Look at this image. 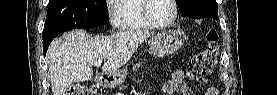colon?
<instances>
[{
    "instance_id": "colon-1",
    "label": "colon",
    "mask_w": 277,
    "mask_h": 95,
    "mask_svg": "<svg viewBox=\"0 0 277 95\" xmlns=\"http://www.w3.org/2000/svg\"><path fill=\"white\" fill-rule=\"evenodd\" d=\"M207 47L195 54L191 59V69L195 74L205 76L212 72L217 63L219 34L211 29L207 33ZM95 87L85 85H74L66 88V95H90Z\"/></svg>"
}]
</instances>
